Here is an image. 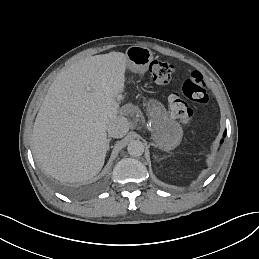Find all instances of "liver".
<instances>
[{"mask_svg":"<svg viewBox=\"0 0 259 259\" xmlns=\"http://www.w3.org/2000/svg\"><path fill=\"white\" fill-rule=\"evenodd\" d=\"M127 57L111 52L79 60L49 87L33 127L38 164L53 177L88 180L102 168L107 126L119 112Z\"/></svg>","mask_w":259,"mask_h":259,"instance_id":"obj_1","label":"liver"}]
</instances>
